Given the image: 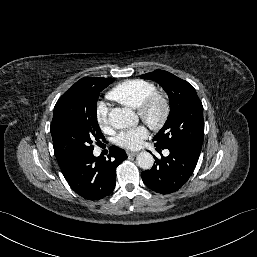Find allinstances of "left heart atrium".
Wrapping results in <instances>:
<instances>
[{
	"instance_id": "left-heart-atrium-1",
	"label": "left heart atrium",
	"mask_w": 257,
	"mask_h": 257,
	"mask_svg": "<svg viewBox=\"0 0 257 257\" xmlns=\"http://www.w3.org/2000/svg\"><path fill=\"white\" fill-rule=\"evenodd\" d=\"M148 136V129L144 125L121 131L115 139L117 145L127 148H138Z\"/></svg>"
}]
</instances>
